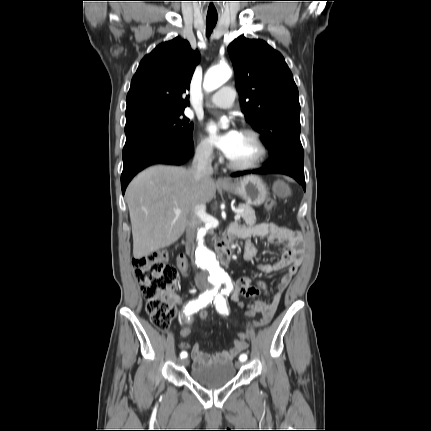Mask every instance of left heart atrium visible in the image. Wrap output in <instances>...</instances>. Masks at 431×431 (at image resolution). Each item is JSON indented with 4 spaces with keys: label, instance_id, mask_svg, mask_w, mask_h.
Listing matches in <instances>:
<instances>
[{
    "label": "left heart atrium",
    "instance_id": "1",
    "mask_svg": "<svg viewBox=\"0 0 431 431\" xmlns=\"http://www.w3.org/2000/svg\"><path fill=\"white\" fill-rule=\"evenodd\" d=\"M211 142L226 156L233 150L240 132L234 128L223 130L221 126L211 121L206 125Z\"/></svg>",
    "mask_w": 431,
    "mask_h": 431
}]
</instances>
